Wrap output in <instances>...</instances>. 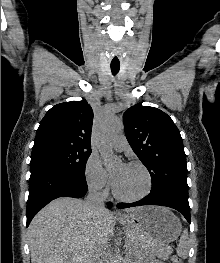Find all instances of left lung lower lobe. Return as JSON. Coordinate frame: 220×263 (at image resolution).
Masks as SVG:
<instances>
[{
    "label": "left lung lower lobe",
    "mask_w": 220,
    "mask_h": 263,
    "mask_svg": "<svg viewBox=\"0 0 220 263\" xmlns=\"http://www.w3.org/2000/svg\"><path fill=\"white\" fill-rule=\"evenodd\" d=\"M142 205H160L167 206L179 211L190 223V207L188 203V195H183L172 190H161L150 192L145 198L134 203H119V209L142 206Z\"/></svg>",
    "instance_id": "0a47b994"
}]
</instances>
